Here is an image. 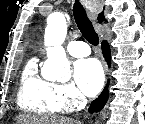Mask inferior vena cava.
<instances>
[{
  "instance_id": "inferior-vena-cava-1",
  "label": "inferior vena cava",
  "mask_w": 145,
  "mask_h": 124,
  "mask_svg": "<svg viewBox=\"0 0 145 124\" xmlns=\"http://www.w3.org/2000/svg\"><path fill=\"white\" fill-rule=\"evenodd\" d=\"M86 103H87V101H86V99H84V100L82 101V105H86Z\"/></svg>"
}]
</instances>
